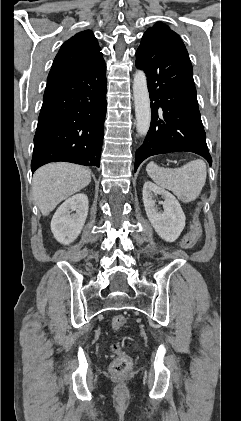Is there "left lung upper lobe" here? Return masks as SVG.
<instances>
[{
  "label": "left lung upper lobe",
  "mask_w": 241,
  "mask_h": 421,
  "mask_svg": "<svg viewBox=\"0 0 241 421\" xmlns=\"http://www.w3.org/2000/svg\"><path fill=\"white\" fill-rule=\"evenodd\" d=\"M145 34H158V35H164V36H169L178 40H181L179 35L177 33H175L174 31H172L168 26H166L165 24L159 22L156 25H154L153 27H150ZM182 41V40H181Z\"/></svg>",
  "instance_id": "left-lung-upper-lobe-1"
}]
</instances>
